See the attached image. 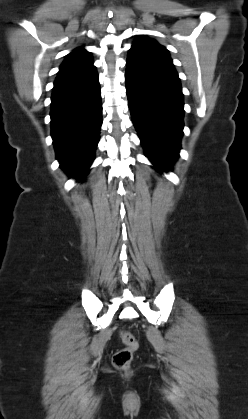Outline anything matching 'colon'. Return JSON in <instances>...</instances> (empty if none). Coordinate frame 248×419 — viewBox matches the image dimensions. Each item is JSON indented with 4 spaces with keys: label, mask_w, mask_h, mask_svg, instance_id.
<instances>
[{
    "label": "colon",
    "mask_w": 248,
    "mask_h": 419,
    "mask_svg": "<svg viewBox=\"0 0 248 419\" xmlns=\"http://www.w3.org/2000/svg\"><path fill=\"white\" fill-rule=\"evenodd\" d=\"M120 336L124 347L114 353L112 361L116 368L125 370L130 366L139 344L137 339L127 331H122Z\"/></svg>",
    "instance_id": "5ec220e1"
}]
</instances>
